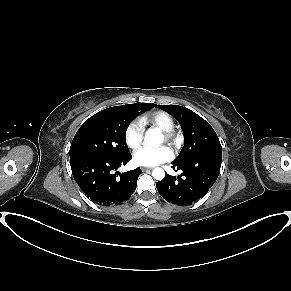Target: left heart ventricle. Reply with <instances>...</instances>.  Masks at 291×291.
Here are the masks:
<instances>
[{
    "mask_svg": "<svg viewBox=\"0 0 291 291\" xmlns=\"http://www.w3.org/2000/svg\"><path fill=\"white\" fill-rule=\"evenodd\" d=\"M163 141H164V138L162 137V138H161V142H163Z\"/></svg>",
    "mask_w": 291,
    "mask_h": 291,
    "instance_id": "b2bd125f",
    "label": "left heart ventricle"
}]
</instances>
